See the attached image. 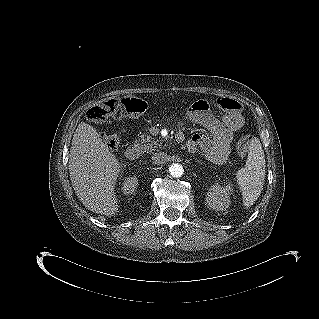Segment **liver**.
Segmentation results:
<instances>
[{
  "label": "liver",
  "instance_id": "liver-1",
  "mask_svg": "<svg viewBox=\"0 0 319 319\" xmlns=\"http://www.w3.org/2000/svg\"><path fill=\"white\" fill-rule=\"evenodd\" d=\"M69 157L70 180L82 204L92 212L114 215L118 211L114 186L121 166L93 126L78 125Z\"/></svg>",
  "mask_w": 319,
  "mask_h": 319
}]
</instances>
